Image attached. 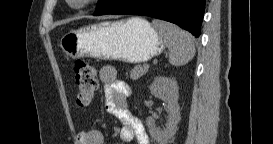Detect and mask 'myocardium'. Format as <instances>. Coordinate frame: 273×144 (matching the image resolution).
Segmentation results:
<instances>
[{"label": "myocardium", "instance_id": "myocardium-1", "mask_svg": "<svg viewBox=\"0 0 273 144\" xmlns=\"http://www.w3.org/2000/svg\"><path fill=\"white\" fill-rule=\"evenodd\" d=\"M69 1L71 3H74L78 9H84L90 6L91 4L97 2L98 0H69Z\"/></svg>", "mask_w": 273, "mask_h": 144}]
</instances>
